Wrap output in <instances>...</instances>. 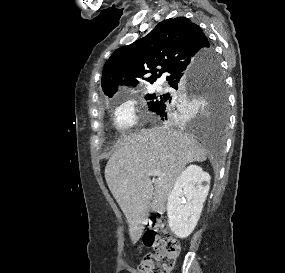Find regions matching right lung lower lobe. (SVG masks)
I'll return each instance as SVG.
<instances>
[{
    "mask_svg": "<svg viewBox=\"0 0 285 273\" xmlns=\"http://www.w3.org/2000/svg\"><path fill=\"white\" fill-rule=\"evenodd\" d=\"M207 56L202 57L197 64L190 70L180 73L173 80L169 82L170 86L176 90L185 91L193 87L196 83V78L203 73L208 64ZM156 114L160 115L162 119L169 122L177 120L178 118H171L168 112L167 104L162 102L154 110Z\"/></svg>",
    "mask_w": 285,
    "mask_h": 273,
    "instance_id": "1",
    "label": "right lung lower lobe"
}]
</instances>
